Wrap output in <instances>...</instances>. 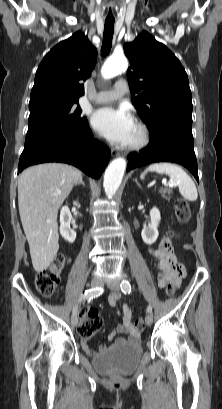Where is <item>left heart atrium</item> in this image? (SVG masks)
I'll return each instance as SVG.
<instances>
[{"label": "left heart atrium", "instance_id": "obj_1", "mask_svg": "<svg viewBox=\"0 0 222 409\" xmlns=\"http://www.w3.org/2000/svg\"><path fill=\"white\" fill-rule=\"evenodd\" d=\"M91 123L102 136L119 146L130 144L136 126L133 116L124 107L101 108L93 113Z\"/></svg>", "mask_w": 222, "mask_h": 409}]
</instances>
